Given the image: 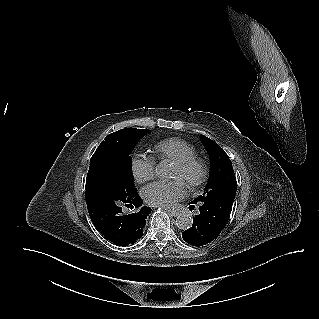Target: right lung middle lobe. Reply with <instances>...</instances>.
Returning <instances> with one entry per match:
<instances>
[{
	"label": "right lung middle lobe",
	"mask_w": 319,
	"mask_h": 319,
	"mask_svg": "<svg viewBox=\"0 0 319 319\" xmlns=\"http://www.w3.org/2000/svg\"><path fill=\"white\" fill-rule=\"evenodd\" d=\"M147 132L148 129L125 128L106 136L90 160L86 187L93 186L102 176L111 174L120 179L125 191L135 190L130 153Z\"/></svg>",
	"instance_id": "right-lung-middle-lobe-1"
}]
</instances>
